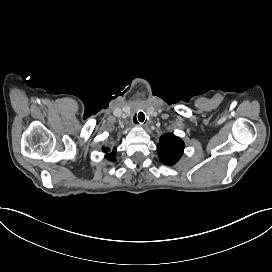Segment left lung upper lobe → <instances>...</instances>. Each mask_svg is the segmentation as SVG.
Instances as JSON below:
<instances>
[{"instance_id":"obj_1","label":"left lung upper lobe","mask_w":272,"mask_h":272,"mask_svg":"<svg viewBox=\"0 0 272 272\" xmlns=\"http://www.w3.org/2000/svg\"><path fill=\"white\" fill-rule=\"evenodd\" d=\"M184 147V142L172 133L162 135L157 145L160 161L169 166L176 164L183 154Z\"/></svg>"}]
</instances>
